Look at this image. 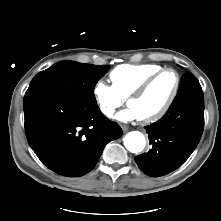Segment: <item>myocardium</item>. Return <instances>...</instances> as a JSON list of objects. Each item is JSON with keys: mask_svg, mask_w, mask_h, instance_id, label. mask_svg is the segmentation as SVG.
Instances as JSON below:
<instances>
[{"mask_svg": "<svg viewBox=\"0 0 221 221\" xmlns=\"http://www.w3.org/2000/svg\"><path fill=\"white\" fill-rule=\"evenodd\" d=\"M165 72H172L175 76V86L174 89L168 99V101L166 102V104L163 106L162 109H160L158 112H156L155 114L146 117V118H142L140 119V121L144 124H151L154 123L160 119H162L167 113L168 111L171 109L173 103L175 102L177 95L179 93V89H180V84H181V78L179 73L173 69V68H162L160 70H158L157 72L153 73L152 75H150L136 90H134L127 99V102L133 98L136 97H140L142 96L151 86V84L163 73Z\"/></svg>", "mask_w": 221, "mask_h": 221, "instance_id": "1", "label": "myocardium"}]
</instances>
